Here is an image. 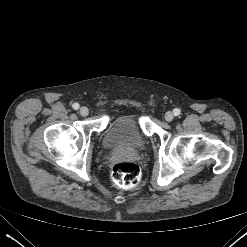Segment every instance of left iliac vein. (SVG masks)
Wrapping results in <instances>:
<instances>
[{
    "mask_svg": "<svg viewBox=\"0 0 247 247\" xmlns=\"http://www.w3.org/2000/svg\"><path fill=\"white\" fill-rule=\"evenodd\" d=\"M174 118V114L171 111L166 112L165 114V120L168 122H171Z\"/></svg>",
    "mask_w": 247,
    "mask_h": 247,
    "instance_id": "left-iliac-vein-1",
    "label": "left iliac vein"
}]
</instances>
